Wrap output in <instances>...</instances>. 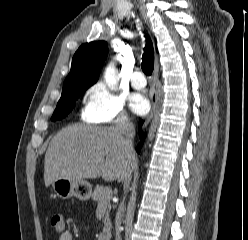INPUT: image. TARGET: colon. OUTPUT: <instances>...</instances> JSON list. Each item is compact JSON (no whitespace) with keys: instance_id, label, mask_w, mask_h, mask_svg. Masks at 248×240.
<instances>
[{"instance_id":"1","label":"colon","mask_w":248,"mask_h":240,"mask_svg":"<svg viewBox=\"0 0 248 240\" xmlns=\"http://www.w3.org/2000/svg\"><path fill=\"white\" fill-rule=\"evenodd\" d=\"M50 224L56 232L58 233L64 232L65 224H64V217L62 214L59 213L54 214L50 219Z\"/></svg>"}]
</instances>
